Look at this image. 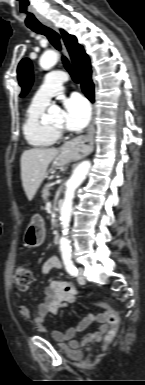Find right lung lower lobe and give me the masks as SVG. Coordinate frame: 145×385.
<instances>
[{"instance_id":"obj_1","label":"right lung lower lobe","mask_w":145,"mask_h":385,"mask_svg":"<svg viewBox=\"0 0 145 385\" xmlns=\"http://www.w3.org/2000/svg\"><path fill=\"white\" fill-rule=\"evenodd\" d=\"M78 73L81 76V87L86 97L94 102V84L92 82V71L90 65L84 66Z\"/></svg>"}]
</instances>
